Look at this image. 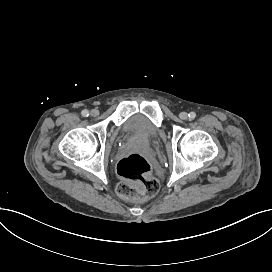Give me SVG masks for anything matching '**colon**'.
Wrapping results in <instances>:
<instances>
[{
  "label": "colon",
  "instance_id": "1",
  "mask_svg": "<svg viewBox=\"0 0 272 272\" xmlns=\"http://www.w3.org/2000/svg\"><path fill=\"white\" fill-rule=\"evenodd\" d=\"M117 173L125 182L117 187V192L125 198L144 200L156 195L159 181L151 175L150 162L139 153H132L119 160Z\"/></svg>",
  "mask_w": 272,
  "mask_h": 272
}]
</instances>
